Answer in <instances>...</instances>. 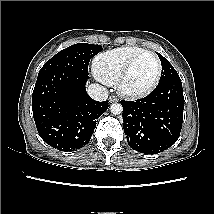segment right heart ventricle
I'll use <instances>...</instances> for the list:
<instances>
[{
    "label": "right heart ventricle",
    "instance_id": "e07e8e85",
    "mask_svg": "<svg viewBox=\"0 0 214 214\" xmlns=\"http://www.w3.org/2000/svg\"><path fill=\"white\" fill-rule=\"evenodd\" d=\"M145 49L138 46H125L98 55L94 69L99 79L107 84H115L127 63Z\"/></svg>",
    "mask_w": 214,
    "mask_h": 214
}]
</instances>
